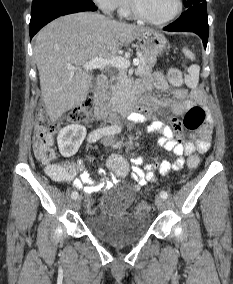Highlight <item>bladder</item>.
<instances>
[{
  "instance_id": "31cf9c89",
  "label": "bladder",
  "mask_w": 233,
  "mask_h": 284,
  "mask_svg": "<svg viewBox=\"0 0 233 284\" xmlns=\"http://www.w3.org/2000/svg\"><path fill=\"white\" fill-rule=\"evenodd\" d=\"M134 198L131 187L124 188L118 197L110 199V206L129 204ZM87 230L97 239L112 244L126 245L140 240L152 225L146 209L135 208L122 212H99L84 219Z\"/></svg>"
}]
</instances>
